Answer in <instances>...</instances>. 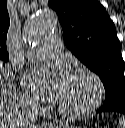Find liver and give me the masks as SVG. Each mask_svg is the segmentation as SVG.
Returning <instances> with one entry per match:
<instances>
[{
	"label": "liver",
	"instance_id": "6515ba94",
	"mask_svg": "<svg viewBox=\"0 0 125 128\" xmlns=\"http://www.w3.org/2000/svg\"><path fill=\"white\" fill-rule=\"evenodd\" d=\"M13 81L0 62V128H20L24 120L14 101Z\"/></svg>",
	"mask_w": 125,
	"mask_h": 128
}]
</instances>
